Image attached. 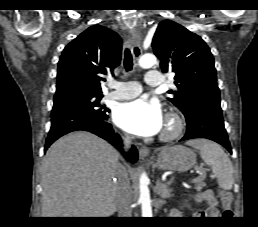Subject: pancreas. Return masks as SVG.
Instances as JSON below:
<instances>
[{"label":"pancreas","mask_w":258,"mask_h":227,"mask_svg":"<svg viewBox=\"0 0 258 227\" xmlns=\"http://www.w3.org/2000/svg\"><path fill=\"white\" fill-rule=\"evenodd\" d=\"M205 179V174H202L200 177H198V180L196 182L195 189L200 191L206 184L203 182Z\"/></svg>","instance_id":"cf45deb5"}]
</instances>
